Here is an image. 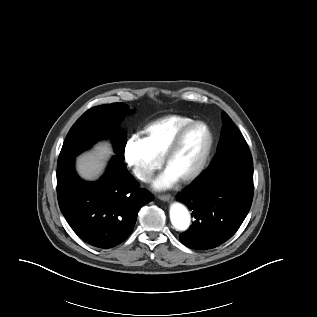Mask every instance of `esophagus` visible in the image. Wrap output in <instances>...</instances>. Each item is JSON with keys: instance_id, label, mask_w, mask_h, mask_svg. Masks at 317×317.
<instances>
[{"instance_id": "34e87169", "label": "esophagus", "mask_w": 317, "mask_h": 317, "mask_svg": "<svg viewBox=\"0 0 317 317\" xmlns=\"http://www.w3.org/2000/svg\"><path fill=\"white\" fill-rule=\"evenodd\" d=\"M159 199L162 201H169L171 199V195L170 194L159 195Z\"/></svg>"}]
</instances>
